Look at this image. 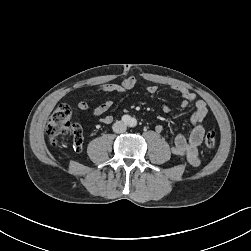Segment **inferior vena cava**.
<instances>
[{"mask_svg": "<svg viewBox=\"0 0 251 251\" xmlns=\"http://www.w3.org/2000/svg\"><path fill=\"white\" fill-rule=\"evenodd\" d=\"M127 130V125L122 121H116L113 125V131L115 133H124Z\"/></svg>", "mask_w": 251, "mask_h": 251, "instance_id": "1", "label": "inferior vena cava"}]
</instances>
